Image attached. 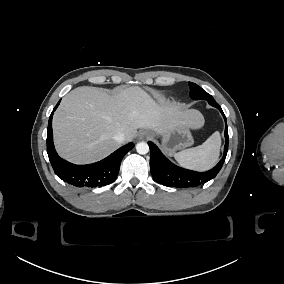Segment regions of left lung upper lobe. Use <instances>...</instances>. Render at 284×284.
I'll use <instances>...</instances> for the list:
<instances>
[{
  "instance_id": "obj_1",
  "label": "left lung upper lobe",
  "mask_w": 284,
  "mask_h": 284,
  "mask_svg": "<svg viewBox=\"0 0 284 284\" xmlns=\"http://www.w3.org/2000/svg\"><path fill=\"white\" fill-rule=\"evenodd\" d=\"M190 87V97L193 100H207L208 102L215 101L214 98L204 91L200 86L195 83L189 82Z\"/></svg>"
}]
</instances>
